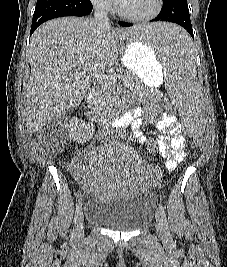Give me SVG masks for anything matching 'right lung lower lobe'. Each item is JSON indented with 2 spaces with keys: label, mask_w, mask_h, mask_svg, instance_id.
<instances>
[{
  "label": "right lung lower lobe",
  "mask_w": 227,
  "mask_h": 267,
  "mask_svg": "<svg viewBox=\"0 0 227 267\" xmlns=\"http://www.w3.org/2000/svg\"><path fill=\"white\" fill-rule=\"evenodd\" d=\"M92 9L90 0H37L30 35L47 20L63 16H86Z\"/></svg>",
  "instance_id": "98d812e1"
}]
</instances>
